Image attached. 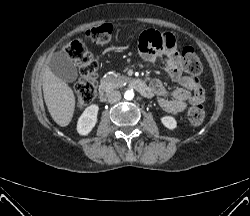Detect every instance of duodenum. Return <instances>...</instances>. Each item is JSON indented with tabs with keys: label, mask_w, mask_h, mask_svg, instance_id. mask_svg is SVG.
I'll return each instance as SVG.
<instances>
[{
	"label": "duodenum",
	"mask_w": 250,
	"mask_h": 216,
	"mask_svg": "<svg viewBox=\"0 0 250 216\" xmlns=\"http://www.w3.org/2000/svg\"><path fill=\"white\" fill-rule=\"evenodd\" d=\"M127 86L137 90L141 95L150 97L152 95L150 86L143 80L138 78H130L126 81ZM112 91V87L107 84H101L99 88V98L101 101H105Z\"/></svg>",
	"instance_id": "1"
}]
</instances>
